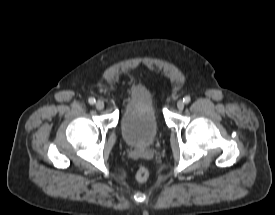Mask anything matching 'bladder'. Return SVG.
Returning a JSON list of instances; mask_svg holds the SVG:
<instances>
[{"instance_id":"1","label":"bladder","mask_w":275,"mask_h":215,"mask_svg":"<svg viewBox=\"0 0 275 215\" xmlns=\"http://www.w3.org/2000/svg\"><path fill=\"white\" fill-rule=\"evenodd\" d=\"M131 95V104L120 122L122 138L131 146H149L160 130V118L153 96L143 85H134Z\"/></svg>"}]
</instances>
